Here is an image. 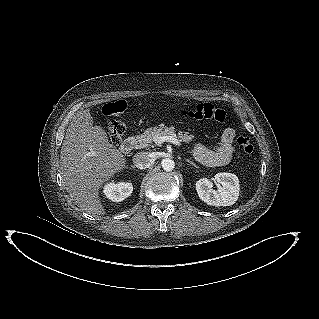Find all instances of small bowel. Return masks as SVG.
Returning a JSON list of instances; mask_svg holds the SVG:
<instances>
[{"label": "small bowel", "mask_w": 319, "mask_h": 319, "mask_svg": "<svg viewBox=\"0 0 319 319\" xmlns=\"http://www.w3.org/2000/svg\"><path fill=\"white\" fill-rule=\"evenodd\" d=\"M234 139L235 130L231 127L226 128L217 147L207 149L203 145L197 144L193 148V155L204 166H224L230 162L235 154Z\"/></svg>", "instance_id": "obj_1"}]
</instances>
